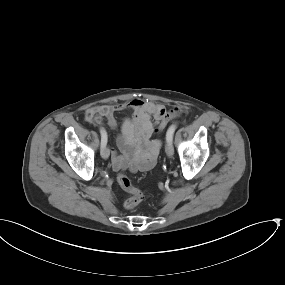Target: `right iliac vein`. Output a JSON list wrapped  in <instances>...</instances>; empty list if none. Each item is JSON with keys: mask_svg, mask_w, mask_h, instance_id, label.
<instances>
[{"mask_svg": "<svg viewBox=\"0 0 285 285\" xmlns=\"http://www.w3.org/2000/svg\"><path fill=\"white\" fill-rule=\"evenodd\" d=\"M109 155H110L109 148H108V146L105 145V146L101 149V156H102L104 159H108V158H109Z\"/></svg>", "mask_w": 285, "mask_h": 285, "instance_id": "obj_1", "label": "right iliac vein"}]
</instances>
